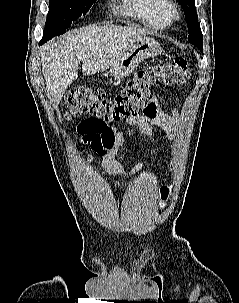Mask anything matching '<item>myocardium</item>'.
<instances>
[{
    "mask_svg": "<svg viewBox=\"0 0 239 303\" xmlns=\"http://www.w3.org/2000/svg\"><path fill=\"white\" fill-rule=\"evenodd\" d=\"M167 12L171 20H178L181 16L178 6L174 3L168 6Z\"/></svg>",
    "mask_w": 239,
    "mask_h": 303,
    "instance_id": "obj_1",
    "label": "myocardium"
}]
</instances>
